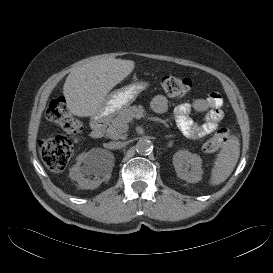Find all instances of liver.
<instances>
[{"label": "liver", "mask_w": 273, "mask_h": 273, "mask_svg": "<svg viewBox=\"0 0 273 273\" xmlns=\"http://www.w3.org/2000/svg\"><path fill=\"white\" fill-rule=\"evenodd\" d=\"M135 68L132 60L102 58L74 68L63 86L67 109L79 117L102 113L110 90Z\"/></svg>", "instance_id": "1"}]
</instances>
